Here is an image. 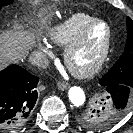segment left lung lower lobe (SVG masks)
<instances>
[{"label": "left lung lower lobe", "mask_w": 133, "mask_h": 133, "mask_svg": "<svg viewBox=\"0 0 133 133\" xmlns=\"http://www.w3.org/2000/svg\"><path fill=\"white\" fill-rule=\"evenodd\" d=\"M107 90L105 99L109 110L116 112H126L130 96L133 95V88L122 84H110L104 86ZM102 113L99 112V115Z\"/></svg>", "instance_id": "0a47b994"}]
</instances>
